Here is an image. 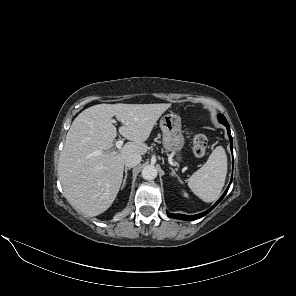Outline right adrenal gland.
<instances>
[{"label":"right adrenal gland","instance_id":"obj_1","mask_svg":"<svg viewBox=\"0 0 296 296\" xmlns=\"http://www.w3.org/2000/svg\"><path fill=\"white\" fill-rule=\"evenodd\" d=\"M128 170H130V168H125V177H124V180H123V184H122V189L125 187L126 185V180H127V175H128Z\"/></svg>","mask_w":296,"mask_h":296}]
</instances>
